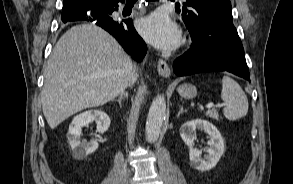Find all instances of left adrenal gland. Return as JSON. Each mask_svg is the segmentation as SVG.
I'll return each mask as SVG.
<instances>
[{
    "label": "left adrenal gland",
    "instance_id": "a2214340",
    "mask_svg": "<svg viewBox=\"0 0 293 184\" xmlns=\"http://www.w3.org/2000/svg\"><path fill=\"white\" fill-rule=\"evenodd\" d=\"M187 110H184L183 109V106H181L180 107V110H179V112H178V114H177V117H179L182 113H184V112H186Z\"/></svg>",
    "mask_w": 293,
    "mask_h": 184
}]
</instances>
